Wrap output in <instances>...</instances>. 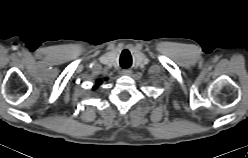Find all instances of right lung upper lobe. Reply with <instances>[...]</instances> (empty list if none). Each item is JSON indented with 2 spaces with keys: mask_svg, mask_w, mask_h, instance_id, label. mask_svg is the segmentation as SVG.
Masks as SVG:
<instances>
[{
  "mask_svg": "<svg viewBox=\"0 0 248 158\" xmlns=\"http://www.w3.org/2000/svg\"><path fill=\"white\" fill-rule=\"evenodd\" d=\"M101 83H102L101 80H97V81H96V86H95L93 89H96Z\"/></svg>",
  "mask_w": 248,
  "mask_h": 158,
  "instance_id": "right-lung-upper-lobe-1",
  "label": "right lung upper lobe"
}]
</instances>
